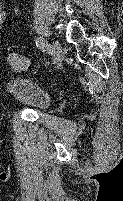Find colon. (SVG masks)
I'll list each match as a JSON object with an SVG mask.
<instances>
[{
    "mask_svg": "<svg viewBox=\"0 0 123 201\" xmlns=\"http://www.w3.org/2000/svg\"><path fill=\"white\" fill-rule=\"evenodd\" d=\"M8 66L12 71L19 72L28 69L29 60L17 53H10L8 55Z\"/></svg>",
    "mask_w": 123,
    "mask_h": 201,
    "instance_id": "colon-1",
    "label": "colon"
}]
</instances>
